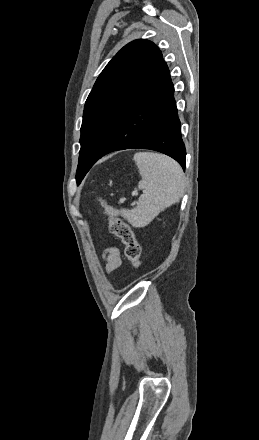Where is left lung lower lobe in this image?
Returning <instances> with one entry per match:
<instances>
[{
  "label": "left lung lower lobe",
  "mask_w": 259,
  "mask_h": 440,
  "mask_svg": "<svg viewBox=\"0 0 259 440\" xmlns=\"http://www.w3.org/2000/svg\"><path fill=\"white\" fill-rule=\"evenodd\" d=\"M151 149L175 159L185 169L186 150L169 69L161 58L148 85L99 154L124 149Z\"/></svg>",
  "instance_id": "0a47b994"
}]
</instances>
